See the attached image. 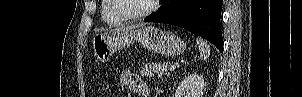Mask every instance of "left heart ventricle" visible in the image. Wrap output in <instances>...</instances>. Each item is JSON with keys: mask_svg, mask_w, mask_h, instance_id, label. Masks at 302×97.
<instances>
[{"mask_svg": "<svg viewBox=\"0 0 302 97\" xmlns=\"http://www.w3.org/2000/svg\"><path fill=\"white\" fill-rule=\"evenodd\" d=\"M120 9L127 14L143 12L151 3V0H118Z\"/></svg>", "mask_w": 302, "mask_h": 97, "instance_id": "b2bd125f", "label": "left heart ventricle"}]
</instances>
